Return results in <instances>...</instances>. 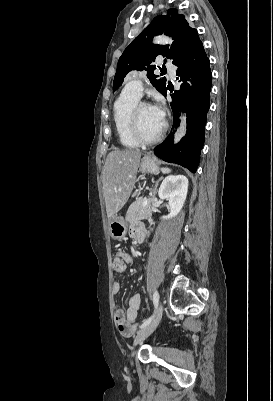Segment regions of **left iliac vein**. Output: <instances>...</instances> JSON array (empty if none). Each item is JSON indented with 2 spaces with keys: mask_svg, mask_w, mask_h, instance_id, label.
<instances>
[{
  "mask_svg": "<svg viewBox=\"0 0 273 401\" xmlns=\"http://www.w3.org/2000/svg\"><path fill=\"white\" fill-rule=\"evenodd\" d=\"M162 315H163V303L161 302L152 321L136 334L134 341L135 344L144 341L149 335H151L155 331V329L158 327L161 321Z\"/></svg>",
  "mask_w": 273,
  "mask_h": 401,
  "instance_id": "obj_1",
  "label": "left iliac vein"
}]
</instances>
